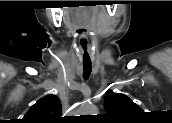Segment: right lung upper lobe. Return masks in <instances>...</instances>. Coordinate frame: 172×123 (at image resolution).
Wrapping results in <instances>:
<instances>
[{
  "mask_svg": "<svg viewBox=\"0 0 172 123\" xmlns=\"http://www.w3.org/2000/svg\"><path fill=\"white\" fill-rule=\"evenodd\" d=\"M62 116L61 102L55 95H47L37 101L23 117L25 123H60Z\"/></svg>",
  "mask_w": 172,
  "mask_h": 123,
  "instance_id": "cb5924a9",
  "label": "right lung upper lobe"
}]
</instances>
